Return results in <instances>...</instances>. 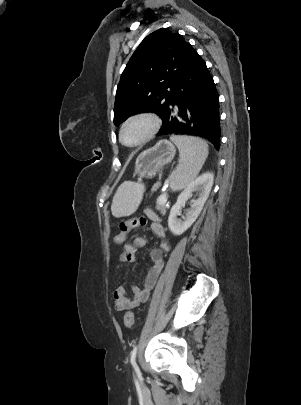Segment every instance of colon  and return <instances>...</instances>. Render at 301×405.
Returning <instances> with one entry per match:
<instances>
[{
  "mask_svg": "<svg viewBox=\"0 0 301 405\" xmlns=\"http://www.w3.org/2000/svg\"><path fill=\"white\" fill-rule=\"evenodd\" d=\"M147 224V220L144 217L132 218L123 220L119 223V233L115 235L113 241L118 247H121L126 242V236L132 230L138 227H144ZM124 324L126 328L130 329L134 325V314L132 311H127L124 315Z\"/></svg>",
  "mask_w": 301,
  "mask_h": 405,
  "instance_id": "5ec220e1",
  "label": "colon"
}]
</instances>
